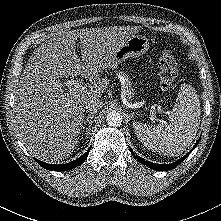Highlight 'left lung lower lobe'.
Listing matches in <instances>:
<instances>
[{
  "instance_id": "0a47b994",
  "label": "left lung lower lobe",
  "mask_w": 221,
  "mask_h": 221,
  "mask_svg": "<svg viewBox=\"0 0 221 221\" xmlns=\"http://www.w3.org/2000/svg\"><path fill=\"white\" fill-rule=\"evenodd\" d=\"M200 140V139H199ZM199 140L197 141V143L195 144V146L192 148V150L195 149V147L198 145ZM130 148V147H129ZM191 150V151H192ZM131 153L133 154L134 158L137 159L138 162L142 163L143 165L148 166L149 168L153 169V170H157V171H167V170H171L176 168L183 160H185V158L189 155L186 154L185 156H183L181 159H179L178 161L171 163V164H156V163H152L149 161L144 160L143 158H141L140 156H137L135 153H133L132 149L130 148Z\"/></svg>"
}]
</instances>
